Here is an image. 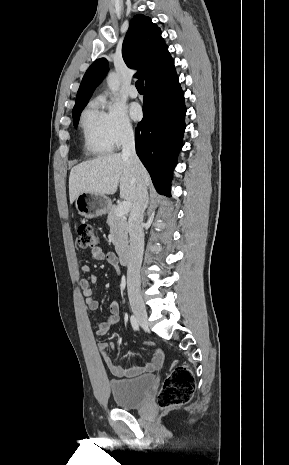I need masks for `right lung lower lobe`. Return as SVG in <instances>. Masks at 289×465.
I'll use <instances>...</instances> for the list:
<instances>
[{
	"label": "right lung lower lobe",
	"instance_id": "obj_1",
	"mask_svg": "<svg viewBox=\"0 0 289 465\" xmlns=\"http://www.w3.org/2000/svg\"><path fill=\"white\" fill-rule=\"evenodd\" d=\"M144 117L135 131L136 152L159 193L170 196V182L182 148L186 107L177 75L145 87Z\"/></svg>",
	"mask_w": 289,
	"mask_h": 465
}]
</instances>
